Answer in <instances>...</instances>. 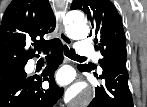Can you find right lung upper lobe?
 <instances>
[{"mask_svg":"<svg viewBox=\"0 0 147 107\" xmlns=\"http://www.w3.org/2000/svg\"><path fill=\"white\" fill-rule=\"evenodd\" d=\"M55 26L56 20L48 0H12L0 26V69L25 66L29 59L38 57L41 50L58 40L45 41L42 38ZM31 41L34 50H27Z\"/></svg>","mask_w":147,"mask_h":107,"instance_id":"obj_1","label":"right lung upper lobe"}]
</instances>
